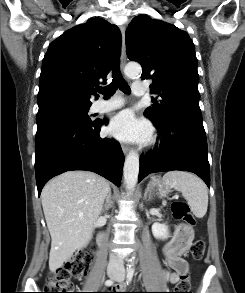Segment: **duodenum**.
<instances>
[{
  "label": "duodenum",
  "instance_id": "1",
  "mask_svg": "<svg viewBox=\"0 0 245 293\" xmlns=\"http://www.w3.org/2000/svg\"><path fill=\"white\" fill-rule=\"evenodd\" d=\"M103 241H104V232H100L97 236V243L99 245H102Z\"/></svg>",
  "mask_w": 245,
  "mask_h": 293
}]
</instances>
